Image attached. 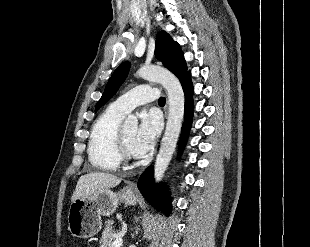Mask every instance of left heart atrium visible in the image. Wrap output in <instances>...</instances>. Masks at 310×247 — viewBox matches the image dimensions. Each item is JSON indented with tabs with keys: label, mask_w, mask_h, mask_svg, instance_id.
I'll list each match as a JSON object with an SVG mask.
<instances>
[{
	"label": "left heart atrium",
	"mask_w": 310,
	"mask_h": 247,
	"mask_svg": "<svg viewBox=\"0 0 310 247\" xmlns=\"http://www.w3.org/2000/svg\"><path fill=\"white\" fill-rule=\"evenodd\" d=\"M160 121L154 113H143L136 130L132 153L137 157L146 155L154 146L160 132Z\"/></svg>",
	"instance_id": "obj_1"
}]
</instances>
